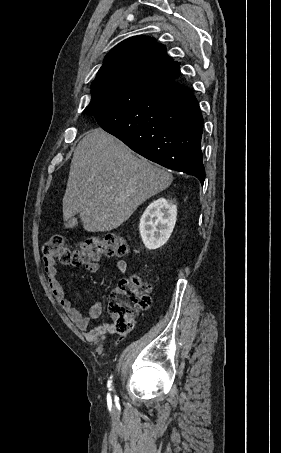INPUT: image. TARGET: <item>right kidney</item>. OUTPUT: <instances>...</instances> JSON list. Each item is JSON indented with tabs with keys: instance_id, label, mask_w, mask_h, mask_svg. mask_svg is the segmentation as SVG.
I'll return each instance as SVG.
<instances>
[{
	"instance_id": "1",
	"label": "right kidney",
	"mask_w": 281,
	"mask_h": 453,
	"mask_svg": "<svg viewBox=\"0 0 281 453\" xmlns=\"http://www.w3.org/2000/svg\"><path fill=\"white\" fill-rule=\"evenodd\" d=\"M177 206L173 200L157 198L144 210L139 229L146 249H159L167 243L176 222Z\"/></svg>"
}]
</instances>
